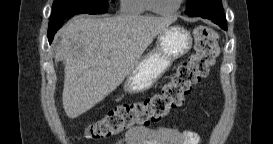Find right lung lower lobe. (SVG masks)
Returning <instances> with one entry per match:
<instances>
[{
  "instance_id": "1",
  "label": "right lung lower lobe",
  "mask_w": 273,
  "mask_h": 144,
  "mask_svg": "<svg viewBox=\"0 0 273 144\" xmlns=\"http://www.w3.org/2000/svg\"><path fill=\"white\" fill-rule=\"evenodd\" d=\"M53 38H54V34L48 36V39H49L50 43L52 42Z\"/></svg>"
}]
</instances>
